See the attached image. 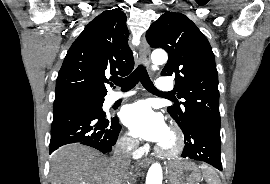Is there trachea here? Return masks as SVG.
<instances>
[{"label": "trachea", "mask_w": 270, "mask_h": 184, "mask_svg": "<svg viewBox=\"0 0 270 184\" xmlns=\"http://www.w3.org/2000/svg\"><path fill=\"white\" fill-rule=\"evenodd\" d=\"M139 81H141V84L143 87L148 90L149 92L163 95V96H170L166 93L159 92L153 85L152 81L150 80V77L143 65H139L138 68L130 74L126 78H118L115 79L113 82L120 86L123 91H128L132 89Z\"/></svg>", "instance_id": "obj_1"}]
</instances>
